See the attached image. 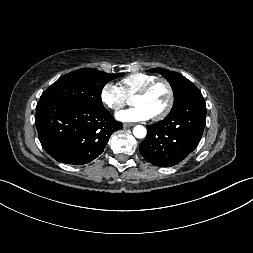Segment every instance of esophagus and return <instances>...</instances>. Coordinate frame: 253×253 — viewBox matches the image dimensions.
<instances>
[{
	"mask_svg": "<svg viewBox=\"0 0 253 253\" xmlns=\"http://www.w3.org/2000/svg\"><path fill=\"white\" fill-rule=\"evenodd\" d=\"M135 124L134 123H124L123 124V127L124 128H129V127H132V126H134Z\"/></svg>",
	"mask_w": 253,
	"mask_h": 253,
	"instance_id": "obj_1",
	"label": "esophagus"
}]
</instances>
